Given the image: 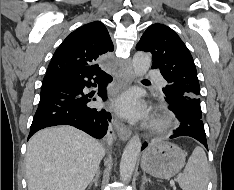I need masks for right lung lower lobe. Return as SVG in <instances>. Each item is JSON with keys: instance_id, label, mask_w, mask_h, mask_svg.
I'll list each match as a JSON object with an SVG mask.
<instances>
[{"instance_id": "right-lung-lower-lobe-1", "label": "right lung lower lobe", "mask_w": 234, "mask_h": 190, "mask_svg": "<svg viewBox=\"0 0 234 190\" xmlns=\"http://www.w3.org/2000/svg\"><path fill=\"white\" fill-rule=\"evenodd\" d=\"M111 81L112 77L98 65L69 69L45 77L28 139L38 130L56 125H71L101 139L108 130L111 114L104 109L89 107L91 99L83 94V89L98 85V95L105 100L106 86Z\"/></svg>"}]
</instances>
